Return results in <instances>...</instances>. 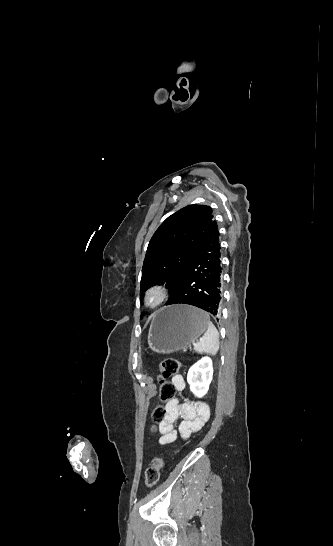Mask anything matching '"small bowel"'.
<instances>
[{"mask_svg":"<svg viewBox=\"0 0 333 546\" xmlns=\"http://www.w3.org/2000/svg\"><path fill=\"white\" fill-rule=\"evenodd\" d=\"M172 384L177 391H183L186 388V381L180 374L172 378ZM210 418V408L204 402L179 399H171L165 407V416L159 422L158 432L160 434L159 444H171L178 436L182 439H188L193 433L200 431ZM181 420L178 428L175 424Z\"/></svg>","mask_w":333,"mask_h":546,"instance_id":"1","label":"small bowel"}]
</instances>
